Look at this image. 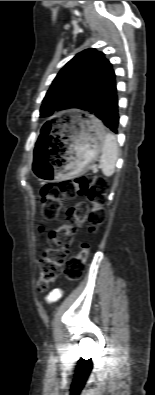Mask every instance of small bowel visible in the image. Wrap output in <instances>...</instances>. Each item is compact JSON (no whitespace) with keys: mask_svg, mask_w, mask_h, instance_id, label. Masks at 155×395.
I'll return each instance as SVG.
<instances>
[{"mask_svg":"<svg viewBox=\"0 0 155 395\" xmlns=\"http://www.w3.org/2000/svg\"><path fill=\"white\" fill-rule=\"evenodd\" d=\"M61 294L59 291H53L47 296V301L52 303L60 298Z\"/></svg>","mask_w":155,"mask_h":395,"instance_id":"small-bowel-1","label":"small bowel"}]
</instances>
